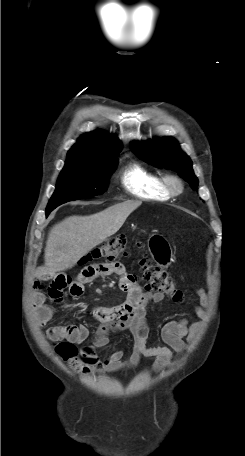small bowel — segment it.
<instances>
[{
    "mask_svg": "<svg viewBox=\"0 0 245 456\" xmlns=\"http://www.w3.org/2000/svg\"><path fill=\"white\" fill-rule=\"evenodd\" d=\"M115 275L119 278V287L127 292L124 302L113 307H96L93 310L94 317L102 322L92 337L91 344L80 349V359L94 371H116L124 367H135L141 357L154 359L153 369L169 366L173 359V353L181 354L186 350L187 342H190L202 321L206 317L209 299L203 288H196L195 293L199 302L194 306V312L199 318L197 322H189L182 318L169 321L163 325L160 337L165 346L148 347L147 339L149 328L146 322V306L150 302H161L163 293L144 290L139 285L136 275L128 274L124 265L118 261L102 264H92L84 267L74 280L64 273H54L45 276L33 284V308L35 319L40 326L45 325L53 316V308L46 304L45 281L51 280L47 288L48 296L60 301L62 291L69 288L72 296H80L84 285L93 282L101 276ZM128 330L133 336V347L130 358L122 362L123 352L114 351L106 359L101 360L96 354V348H104L109 343L112 333ZM51 341L66 340L69 343L81 344L89 339V331L84 325H59L48 328L46 331Z\"/></svg>",
    "mask_w": 245,
    "mask_h": 456,
    "instance_id": "1",
    "label": "small bowel"
}]
</instances>
